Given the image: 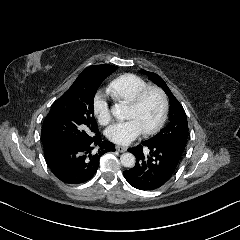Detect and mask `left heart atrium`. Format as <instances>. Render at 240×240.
<instances>
[{"label":"left heart atrium","mask_w":240,"mask_h":240,"mask_svg":"<svg viewBox=\"0 0 240 240\" xmlns=\"http://www.w3.org/2000/svg\"><path fill=\"white\" fill-rule=\"evenodd\" d=\"M141 128L138 123L130 119L126 122H121L113 125L106 131L107 138L118 144L127 145L132 142L141 133Z\"/></svg>","instance_id":"left-heart-atrium-1"}]
</instances>
